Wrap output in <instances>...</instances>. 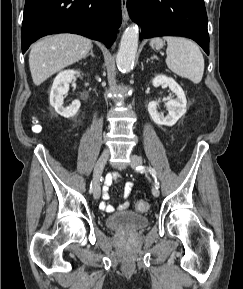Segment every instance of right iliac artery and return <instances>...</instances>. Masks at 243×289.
Here are the masks:
<instances>
[{"mask_svg":"<svg viewBox=\"0 0 243 289\" xmlns=\"http://www.w3.org/2000/svg\"><path fill=\"white\" fill-rule=\"evenodd\" d=\"M92 190H93V184H92V182H91L89 192L92 193Z\"/></svg>","mask_w":243,"mask_h":289,"instance_id":"obj_1","label":"right iliac artery"}]
</instances>
